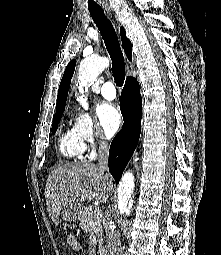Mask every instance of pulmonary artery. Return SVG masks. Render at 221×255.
<instances>
[{
	"label": "pulmonary artery",
	"instance_id": "1",
	"mask_svg": "<svg viewBox=\"0 0 221 255\" xmlns=\"http://www.w3.org/2000/svg\"><path fill=\"white\" fill-rule=\"evenodd\" d=\"M101 94L107 100H113L116 97V89L112 82L107 81L101 86Z\"/></svg>",
	"mask_w": 221,
	"mask_h": 255
}]
</instances>
